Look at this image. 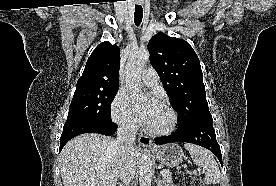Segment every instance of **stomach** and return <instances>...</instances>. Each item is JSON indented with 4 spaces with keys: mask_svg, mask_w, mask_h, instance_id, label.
Wrapping results in <instances>:
<instances>
[{
    "mask_svg": "<svg viewBox=\"0 0 276 186\" xmlns=\"http://www.w3.org/2000/svg\"><path fill=\"white\" fill-rule=\"evenodd\" d=\"M157 160L167 167L179 166L184 157L183 150L175 143L165 144L155 150Z\"/></svg>",
    "mask_w": 276,
    "mask_h": 186,
    "instance_id": "stomach-1",
    "label": "stomach"
}]
</instances>
